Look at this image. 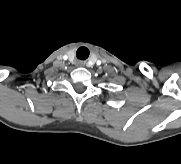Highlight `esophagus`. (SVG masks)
<instances>
[{
    "instance_id": "esophagus-1",
    "label": "esophagus",
    "mask_w": 181,
    "mask_h": 164,
    "mask_svg": "<svg viewBox=\"0 0 181 164\" xmlns=\"http://www.w3.org/2000/svg\"><path fill=\"white\" fill-rule=\"evenodd\" d=\"M79 66H83L84 65V62H82V61H78V63H77Z\"/></svg>"
}]
</instances>
